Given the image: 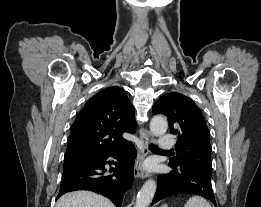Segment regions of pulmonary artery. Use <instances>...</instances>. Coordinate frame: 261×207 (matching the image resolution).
Here are the masks:
<instances>
[{
	"mask_svg": "<svg viewBox=\"0 0 261 207\" xmlns=\"http://www.w3.org/2000/svg\"><path fill=\"white\" fill-rule=\"evenodd\" d=\"M174 146L173 139L170 135L166 134L160 137L159 139V148L168 151Z\"/></svg>",
	"mask_w": 261,
	"mask_h": 207,
	"instance_id": "pulmonary-artery-1",
	"label": "pulmonary artery"
}]
</instances>
